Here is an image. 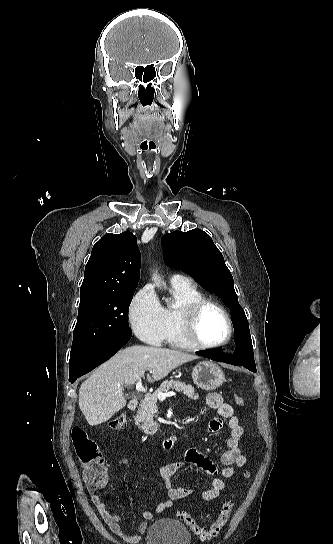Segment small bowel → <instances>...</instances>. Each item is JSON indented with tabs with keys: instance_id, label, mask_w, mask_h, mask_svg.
<instances>
[{
	"instance_id": "small-bowel-1",
	"label": "small bowel",
	"mask_w": 333,
	"mask_h": 544,
	"mask_svg": "<svg viewBox=\"0 0 333 544\" xmlns=\"http://www.w3.org/2000/svg\"><path fill=\"white\" fill-rule=\"evenodd\" d=\"M206 404L209 408L216 410L221 419L227 420L229 428V436L227 438V449L221 455V463L225 466L220 474L221 477H215L209 488L203 491L202 498L205 501H212L219 497L221 491L225 487L224 479H230L235 475V469L241 468L246 464V457L242 454L240 449V440L243 435V428L240 424L238 417L234 413V408L224 402L222 396L217 392L209 393L206 397ZM221 419H214L209 424V430L211 432L218 431L222 422ZM127 459L121 458L118 460V464H126ZM196 467L206 474L217 476L219 473L217 465L202 452L194 447L188 448L181 461L171 462L158 467L159 475L164 481L166 498L160 502L155 513H163L167 511L175 501L184 499L190 496L194 489L190 486H175L172 483V477L178 474L185 466ZM224 478V479H223ZM106 482L97 490H90L91 500L96 506L99 514L104 522L108 525L110 530L120 537L123 541L128 543H137L140 541L142 534L146 531L148 522L153 518V513L144 508L142 511L143 521L138 525L137 532L126 533L121 525V517L116 514H112L105 505V502L101 496V489L106 486Z\"/></svg>"
}]
</instances>
